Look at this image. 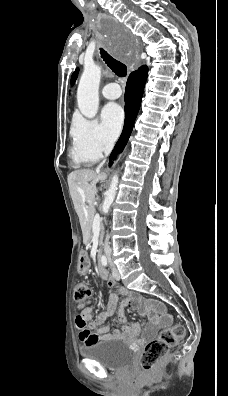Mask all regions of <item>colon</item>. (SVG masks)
<instances>
[{
  "label": "colon",
  "instance_id": "obj_1",
  "mask_svg": "<svg viewBox=\"0 0 228 396\" xmlns=\"http://www.w3.org/2000/svg\"><path fill=\"white\" fill-rule=\"evenodd\" d=\"M74 298L81 308H83L90 299V290L86 283L79 281L74 287ZM76 326L83 329L86 326V317L84 311H81L76 317ZM184 336V329L181 325H173L164 331L158 338L148 341L140 357V366L146 371H153L158 364L167 356L169 348L180 341Z\"/></svg>",
  "mask_w": 228,
  "mask_h": 396
}]
</instances>
